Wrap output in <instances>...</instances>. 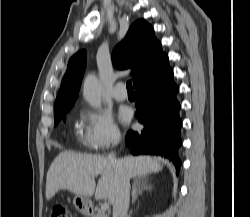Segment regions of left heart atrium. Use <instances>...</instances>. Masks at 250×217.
Segmentation results:
<instances>
[{
    "instance_id": "39dd6f15",
    "label": "left heart atrium",
    "mask_w": 250,
    "mask_h": 217,
    "mask_svg": "<svg viewBox=\"0 0 250 217\" xmlns=\"http://www.w3.org/2000/svg\"><path fill=\"white\" fill-rule=\"evenodd\" d=\"M129 118H130V115H129V113L128 112H123L122 114H121V119H122V121H128L129 120Z\"/></svg>"
}]
</instances>
